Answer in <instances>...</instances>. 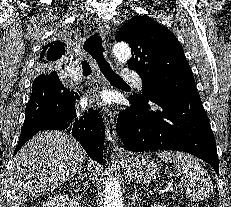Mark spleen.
<instances>
[{
    "instance_id": "obj_1",
    "label": "spleen",
    "mask_w": 231,
    "mask_h": 207,
    "mask_svg": "<svg viewBox=\"0 0 231 207\" xmlns=\"http://www.w3.org/2000/svg\"><path fill=\"white\" fill-rule=\"evenodd\" d=\"M157 155L163 162H174L177 175L186 186V196L191 201H201L213 192L211 178L194 157L183 152L166 150Z\"/></svg>"
}]
</instances>
